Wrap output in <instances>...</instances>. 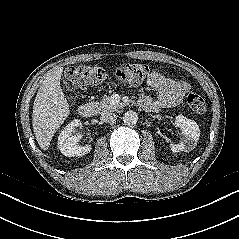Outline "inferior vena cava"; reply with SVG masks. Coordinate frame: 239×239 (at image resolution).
<instances>
[{
  "instance_id": "602c4592",
  "label": "inferior vena cava",
  "mask_w": 239,
  "mask_h": 239,
  "mask_svg": "<svg viewBox=\"0 0 239 239\" xmlns=\"http://www.w3.org/2000/svg\"><path fill=\"white\" fill-rule=\"evenodd\" d=\"M100 119L105 123L113 124L117 119V115L112 112H103Z\"/></svg>"
}]
</instances>
